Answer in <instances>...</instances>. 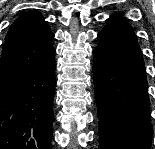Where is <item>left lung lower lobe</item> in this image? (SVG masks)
Returning a JSON list of instances; mask_svg holds the SVG:
<instances>
[{
  "mask_svg": "<svg viewBox=\"0 0 155 149\" xmlns=\"http://www.w3.org/2000/svg\"><path fill=\"white\" fill-rule=\"evenodd\" d=\"M94 54L100 149H150L147 78L132 27L120 13L107 19Z\"/></svg>",
  "mask_w": 155,
  "mask_h": 149,
  "instance_id": "left-lung-lower-lobe-1",
  "label": "left lung lower lobe"
}]
</instances>
